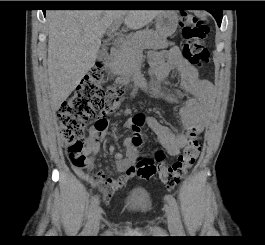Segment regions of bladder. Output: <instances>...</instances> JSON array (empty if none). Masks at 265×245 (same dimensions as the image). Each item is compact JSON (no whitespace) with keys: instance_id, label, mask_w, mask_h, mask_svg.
Returning <instances> with one entry per match:
<instances>
[{"instance_id":"obj_1","label":"bladder","mask_w":265,"mask_h":245,"mask_svg":"<svg viewBox=\"0 0 265 245\" xmlns=\"http://www.w3.org/2000/svg\"><path fill=\"white\" fill-rule=\"evenodd\" d=\"M151 207L148 191L142 186L133 188L126 197L122 208L127 211H147Z\"/></svg>"}]
</instances>
